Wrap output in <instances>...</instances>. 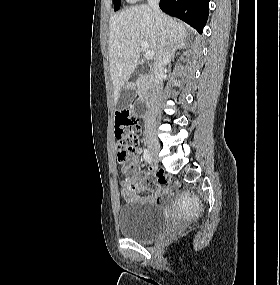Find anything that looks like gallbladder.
<instances>
[{"label":"gallbladder","mask_w":280,"mask_h":285,"mask_svg":"<svg viewBox=\"0 0 280 285\" xmlns=\"http://www.w3.org/2000/svg\"><path fill=\"white\" fill-rule=\"evenodd\" d=\"M135 96H136V88L134 86H126L122 90L116 102V109L121 111L127 108L133 102Z\"/></svg>","instance_id":"1"}]
</instances>
